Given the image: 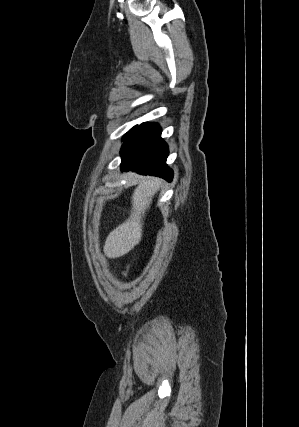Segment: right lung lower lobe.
Instances as JSON below:
<instances>
[{
    "label": "right lung lower lobe",
    "instance_id": "right-lung-lower-lobe-1",
    "mask_svg": "<svg viewBox=\"0 0 299 427\" xmlns=\"http://www.w3.org/2000/svg\"><path fill=\"white\" fill-rule=\"evenodd\" d=\"M121 149V170L136 171L171 181L173 171L166 165L168 146L156 123H143L125 138Z\"/></svg>",
    "mask_w": 299,
    "mask_h": 427
}]
</instances>
